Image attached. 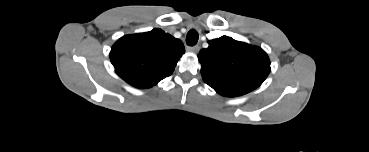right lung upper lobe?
Here are the masks:
<instances>
[{
  "mask_svg": "<svg viewBox=\"0 0 369 152\" xmlns=\"http://www.w3.org/2000/svg\"><path fill=\"white\" fill-rule=\"evenodd\" d=\"M185 52L181 40L161 29L126 35L112 47L115 72L137 88H150L170 76Z\"/></svg>",
  "mask_w": 369,
  "mask_h": 152,
  "instance_id": "cb5924a9",
  "label": "right lung upper lobe"
}]
</instances>
